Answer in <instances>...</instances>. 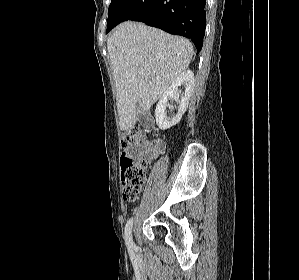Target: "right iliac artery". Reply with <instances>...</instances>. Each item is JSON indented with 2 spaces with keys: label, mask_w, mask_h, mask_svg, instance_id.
<instances>
[{
  "label": "right iliac artery",
  "mask_w": 299,
  "mask_h": 280,
  "mask_svg": "<svg viewBox=\"0 0 299 280\" xmlns=\"http://www.w3.org/2000/svg\"><path fill=\"white\" fill-rule=\"evenodd\" d=\"M132 224H133V219H130L126 226H125V236H124V239H125V243L128 247L129 250H133L135 248V245L133 243V240H132Z\"/></svg>",
  "instance_id": "82829eb1"
}]
</instances>
